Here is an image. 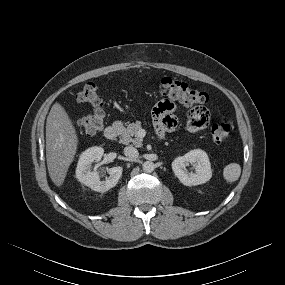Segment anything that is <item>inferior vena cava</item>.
<instances>
[{
  "mask_svg": "<svg viewBox=\"0 0 285 285\" xmlns=\"http://www.w3.org/2000/svg\"><path fill=\"white\" fill-rule=\"evenodd\" d=\"M124 154L130 159H135L139 156L138 150L132 146L125 147Z\"/></svg>",
  "mask_w": 285,
  "mask_h": 285,
  "instance_id": "obj_1",
  "label": "inferior vena cava"
}]
</instances>
